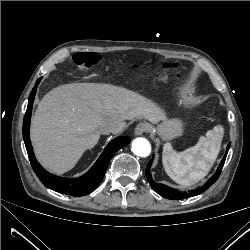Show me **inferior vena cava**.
Returning a JSON list of instances; mask_svg holds the SVG:
<instances>
[{
  "label": "inferior vena cava",
  "mask_w": 250,
  "mask_h": 250,
  "mask_svg": "<svg viewBox=\"0 0 250 250\" xmlns=\"http://www.w3.org/2000/svg\"><path fill=\"white\" fill-rule=\"evenodd\" d=\"M124 128V123L118 120H111L104 124V133H118Z\"/></svg>",
  "instance_id": "602c4592"
}]
</instances>
